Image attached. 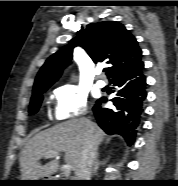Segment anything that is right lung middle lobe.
<instances>
[{
	"mask_svg": "<svg viewBox=\"0 0 178 186\" xmlns=\"http://www.w3.org/2000/svg\"><path fill=\"white\" fill-rule=\"evenodd\" d=\"M46 90L47 89L40 90L36 94L32 95L30 106H29V113L30 114H35L38 111V109H39V107L41 105V102L43 100L42 94Z\"/></svg>",
	"mask_w": 178,
	"mask_h": 186,
	"instance_id": "obj_1",
	"label": "right lung middle lobe"
}]
</instances>
